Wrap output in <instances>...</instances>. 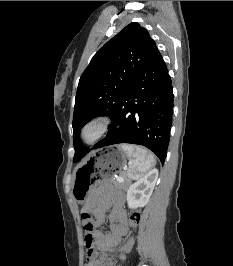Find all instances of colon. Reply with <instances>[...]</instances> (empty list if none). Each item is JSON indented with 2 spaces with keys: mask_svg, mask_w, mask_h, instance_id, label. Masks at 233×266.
Returning a JSON list of instances; mask_svg holds the SVG:
<instances>
[{
  "mask_svg": "<svg viewBox=\"0 0 233 266\" xmlns=\"http://www.w3.org/2000/svg\"><path fill=\"white\" fill-rule=\"evenodd\" d=\"M81 218H82V223L84 225L85 228L90 229L92 226V219L89 213L87 212H82L81 214ZM139 221V215L138 213H132L129 217V223L131 226H135ZM120 259H123V256H120Z\"/></svg>",
  "mask_w": 233,
  "mask_h": 266,
  "instance_id": "colon-1",
  "label": "colon"
}]
</instances>
